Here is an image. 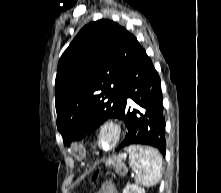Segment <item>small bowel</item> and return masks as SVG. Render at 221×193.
Here are the masks:
<instances>
[{"instance_id":"small-bowel-1","label":"small bowel","mask_w":221,"mask_h":193,"mask_svg":"<svg viewBox=\"0 0 221 193\" xmlns=\"http://www.w3.org/2000/svg\"><path fill=\"white\" fill-rule=\"evenodd\" d=\"M96 193H118V192L116 187L112 183H106Z\"/></svg>"}]
</instances>
